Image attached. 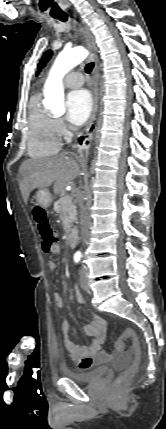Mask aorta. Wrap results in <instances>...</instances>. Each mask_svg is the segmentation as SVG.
Here are the masks:
<instances>
[{"mask_svg": "<svg viewBox=\"0 0 166 429\" xmlns=\"http://www.w3.org/2000/svg\"><path fill=\"white\" fill-rule=\"evenodd\" d=\"M87 56L88 51L83 47L64 50L57 56L44 85V105L52 113H64L63 77Z\"/></svg>", "mask_w": 166, "mask_h": 429, "instance_id": "obj_1", "label": "aorta"}]
</instances>
